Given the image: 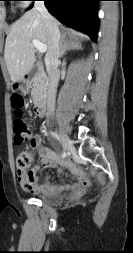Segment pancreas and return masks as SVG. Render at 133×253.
Here are the masks:
<instances>
[{
  "label": "pancreas",
  "instance_id": "pancreas-1",
  "mask_svg": "<svg viewBox=\"0 0 133 253\" xmlns=\"http://www.w3.org/2000/svg\"><path fill=\"white\" fill-rule=\"evenodd\" d=\"M47 77L44 72L38 71L33 78L32 98L37 102L46 91Z\"/></svg>",
  "mask_w": 133,
  "mask_h": 253
}]
</instances>
